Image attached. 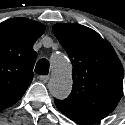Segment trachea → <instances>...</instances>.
<instances>
[{
    "label": "trachea",
    "instance_id": "trachea-1",
    "mask_svg": "<svg viewBox=\"0 0 125 125\" xmlns=\"http://www.w3.org/2000/svg\"><path fill=\"white\" fill-rule=\"evenodd\" d=\"M49 61L47 59H40L35 67V72L39 75H47L49 73Z\"/></svg>",
    "mask_w": 125,
    "mask_h": 125
}]
</instances>
